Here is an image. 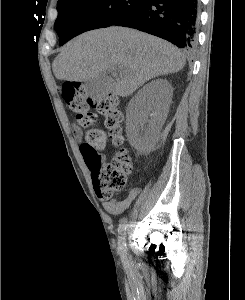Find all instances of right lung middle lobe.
<instances>
[{
	"instance_id": "1",
	"label": "right lung middle lobe",
	"mask_w": 245,
	"mask_h": 300,
	"mask_svg": "<svg viewBox=\"0 0 245 300\" xmlns=\"http://www.w3.org/2000/svg\"><path fill=\"white\" fill-rule=\"evenodd\" d=\"M148 0H58L54 28L62 45L76 35L108 27Z\"/></svg>"
}]
</instances>
